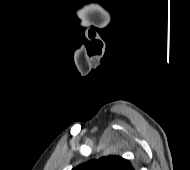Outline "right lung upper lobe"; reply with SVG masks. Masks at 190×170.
Masks as SVG:
<instances>
[{"label": "right lung upper lobe", "instance_id": "1", "mask_svg": "<svg viewBox=\"0 0 190 170\" xmlns=\"http://www.w3.org/2000/svg\"><path fill=\"white\" fill-rule=\"evenodd\" d=\"M72 170H135L126 159L112 155L83 163Z\"/></svg>", "mask_w": 190, "mask_h": 170}]
</instances>
